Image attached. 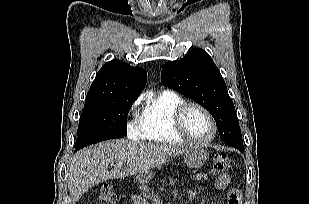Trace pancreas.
<instances>
[{
	"instance_id": "1",
	"label": "pancreas",
	"mask_w": 309,
	"mask_h": 204,
	"mask_svg": "<svg viewBox=\"0 0 309 204\" xmlns=\"http://www.w3.org/2000/svg\"><path fill=\"white\" fill-rule=\"evenodd\" d=\"M144 189H145V190H148V188H147L146 186L144 187Z\"/></svg>"
}]
</instances>
